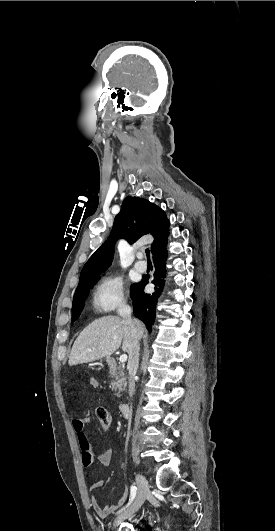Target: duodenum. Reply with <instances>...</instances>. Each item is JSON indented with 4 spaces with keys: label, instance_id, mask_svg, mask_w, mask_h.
<instances>
[{
    "label": "duodenum",
    "instance_id": "duodenum-1",
    "mask_svg": "<svg viewBox=\"0 0 275 531\" xmlns=\"http://www.w3.org/2000/svg\"><path fill=\"white\" fill-rule=\"evenodd\" d=\"M106 361H107V363H108L110 368L115 369L117 367V362L114 359V357L108 356L106 358ZM119 409H120L121 415L122 416H126L128 414V411H129V405L127 403H121Z\"/></svg>",
    "mask_w": 275,
    "mask_h": 531
}]
</instances>
